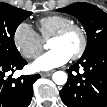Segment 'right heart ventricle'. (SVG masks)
<instances>
[{"instance_id":"e07e8e85","label":"right heart ventricle","mask_w":107,"mask_h":107,"mask_svg":"<svg viewBox=\"0 0 107 107\" xmlns=\"http://www.w3.org/2000/svg\"><path fill=\"white\" fill-rule=\"evenodd\" d=\"M73 23V20L61 14L43 17L38 21L39 36L43 41L49 40L62 27Z\"/></svg>"}]
</instances>
